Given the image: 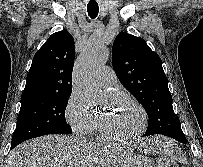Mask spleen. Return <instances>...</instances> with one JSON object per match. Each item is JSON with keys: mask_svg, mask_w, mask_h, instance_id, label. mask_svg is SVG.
I'll list each match as a JSON object with an SVG mask.
<instances>
[{"mask_svg": "<svg viewBox=\"0 0 203 167\" xmlns=\"http://www.w3.org/2000/svg\"><path fill=\"white\" fill-rule=\"evenodd\" d=\"M150 151L174 157L180 163L187 164V159L183 156L181 150L174 146L172 140H168L166 138H157L156 140L152 141Z\"/></svg>", "mask_w": 203, "mask_h": 167, "instance_id": "obj_1", "label": "spleen"}]
</instances>
